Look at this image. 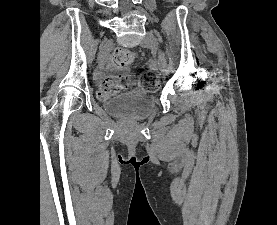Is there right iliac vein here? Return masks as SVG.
I'll return each instance as SVG.
<instances>
[{
	"label": "right iliac vein",
	"instance_id": "1",
	"mask_svg": "<svg viewBox=\"0 0 277 225\" xmlns=\"http://www.w3.org/2000/svg\"><path fill=\"white\" fill-rule=\"evenodd\" d=\"M112 47H113V41H111V40L104 44V46L102 47V49L98 55L99 65H102L105 62L107 55L110 52V50L112 49Z\"/></svg>",
	"mask_w": 277,
	"mask_h": 225
}]
</instances>
